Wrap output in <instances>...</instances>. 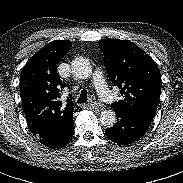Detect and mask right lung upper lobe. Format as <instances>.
Segmentation results:
<instances>
[{"label":"right lung upper lobe","mask_w":183,"mask_h":183,"mask_svg":"<svg viewBox=\"0 0 183 183\" xmlns=\"http://www.w3.org/2000/svg\"><path fill=\"white\" fill-rule=\"evenodd\" d=\"M71 45L69 40L47 44L22 70L20 94L28 126L35 136L63 134L73 128V114L79 107L69 99L67 103L61 101L62 90L68 84L57 73V64Z\"/></svg>","instance_id":"1"}]
</instances>
